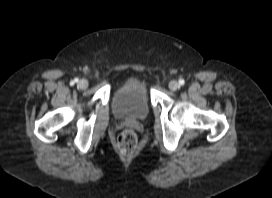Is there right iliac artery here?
Instances as JSON below:
<instances>
[{
    "mask_svg": "<svg viewBox=\"0 0 272 198\" xmlns=\"http://www.w3.org/2000/svg\"><path fill=\"white\" fill-rule=\"evenodd\" d=\"M77 82H78V79L75 78L74 81L71 84H74V83H77Z\"/></svg>",
    "mask_w": 272,
    "mask_h": 198,
    "instance_id": "right-iliac-artery-1",
    "label": "right iliac artery"
}]
</instances>
